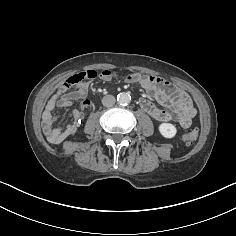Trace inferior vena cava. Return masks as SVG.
Listing matches in <instances>:
<instances>
[{
  "instance_id": "obj_1",
  "label": "inferior vena cava",
  "mask_w": 236,
  "mask_h": 236,
  "mask_svg": "<svg viewBox=\"0 0 236 236\" xmlns=\"http://www.w3.org/2000/svg\"><path fill=\"white\" fill-rule=\"evenodd\" d=\"M115 97L113 95H106L102 99V104L105 107H112L115 104Z\"/></svg>"
}]
</instances>
